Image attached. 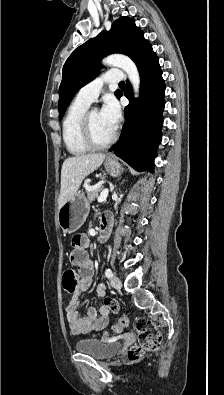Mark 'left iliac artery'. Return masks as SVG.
I'll return each mask as SVG.
<instances>
[{
  "instance_id": "left-iliac-artery-1",
  "label": "left iliac artery",
  "mask_w": 224,
  "mask_h": 395,
  "mask_svg": "<svg viewBox=\"0 0 224 395\" xmlns=\"http://www.w3.org/2000/svg\"><path fill=\"white\" fill-rule=\"evenodd\" d=\"M105 276L107 278H112L113 277V273H112L111 269L108 268V269L105 270Z\"/></svg>"
}]
</instances>
